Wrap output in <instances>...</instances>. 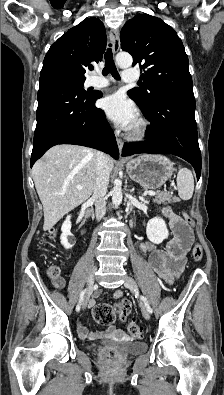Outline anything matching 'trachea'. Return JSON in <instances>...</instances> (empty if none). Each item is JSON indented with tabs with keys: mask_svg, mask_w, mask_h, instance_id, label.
Returning <instances> with one entry per match:
<instances>
[{
	"mask_svg": "<svg viewBox=\"0 0 224 395\" xmlns=\"http://www.w3.org/2000/svg\"><path fill=\"white\" fill-rule=\"evenodd\" d=\"M111 46V45H110ZM111 73V75L116 79L120 80L119 73L116 69L115 63L113 61V54L111 48H108L105 53V67L102 71V74L106 76L107 74Z\"/></svg>",
	"mask_w": 224,
	"mask_h": 395,
	"instance_id": "trachea-1",
	"label": "trachea"
}]
</instances>
